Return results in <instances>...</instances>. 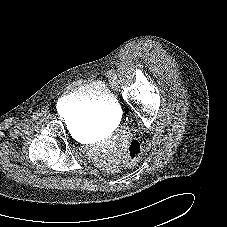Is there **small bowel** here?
Segmentation results:
<instances>
[{
  "label": "small bowel",
  "mask_w": 227,
  "mask_h": 227,
  "mask_svg": "<svg viewBox=\"0 0 227 227\" xmlns=\"http://www.w3.org/2000/svg\"><path fill=\"white\" fill-rule=\"evenodd\" d=\"M120 153L116 150H112L109 153H106L105 155L101 156L99 158V163L100 165L107 167V168H112L115 166L118 158H119Z\"/></svg>",
  "instance_id": "1"
}]
</instances>
